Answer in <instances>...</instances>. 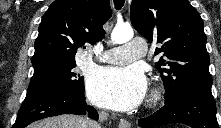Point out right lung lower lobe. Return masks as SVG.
Masks as SVG:
<instances>
[{
    "mask_svg": "<svg viewBox=\"0 0 221 128\" xmlns=\"http://www.w3.org/2000/svg\"><path fill=\"white\" fill-rule=\"evenodd\" d=\"M60 114L88 115L98 120L97 111L86 104L84 93L66 87H51L27 94L13 128H24L42 118Z\"/></svg>",
    "mask_w": 221,
    "mask_h": 128,
    "instance_id": "right-lung-lower-lobe-1",
    "label": "right lung lower lobe"
}]
</instances>
